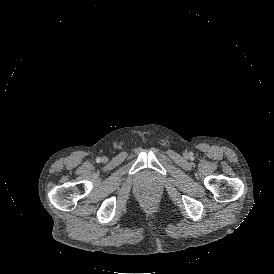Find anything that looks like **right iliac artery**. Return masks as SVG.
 I'll return each instance as SVG.
<instances>
[{"label": "right iliac artery", "instance_id": "right-iliac-artery-1", "mask_svg": "<svg viewBox=\"0 0 274 274\" xmlns=\"http://www.w3.org/2000/svg\"><path fill=\"white\" fill-rule=\"evenodd\" d=\"M96 161H97V162H100V161H101V158H100V157H97V158H96Z\"/></svg>", "mask_w": 274, "mask_h": 274}]
</instances>
